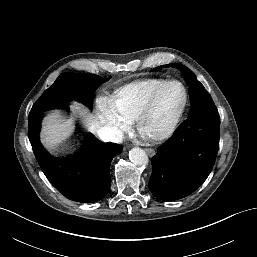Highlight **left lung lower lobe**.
<instances>
[{
    "label": "left lung lower lobe",
    "instance_id": "0a47b994",
    "mask_svg": "<svg viewBox=\"0 0 257 257\" xmlns=\"http://www.w3.org/2000/svg\"><path fill=\"white\" fill-rule=\"evenodd\" d=\"M198 139L175 133L152 159L149 180L152 194L163 201L184 198L199 188L210 174L219 146L220 125H202Z\"/></svg>",
    "mask_w": 257,
    "mask_h": 257
}]
</instances>
